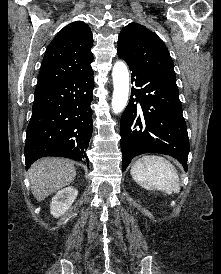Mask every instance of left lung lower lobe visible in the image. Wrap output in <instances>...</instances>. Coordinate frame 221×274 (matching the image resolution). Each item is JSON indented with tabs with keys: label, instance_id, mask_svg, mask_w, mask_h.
<instances>
[{
	"label": "left lung lower lobe",
	"instance_id": "0a47b994",
	"mask_svg": "<svg viewBox=\"0 0 221 274\" xmlns=\"http://www.w3.org/2000/svg\"><path fill=\"white\" fill-rule=\"evenodd\" d=\"M118 56L127 62L135 86L121 116L122 171L144 153L172 156L187 170L189 140L176 81Z\"/></svg>",
	"mask_w": 221,
	"mask_h": 274
}]
</instances>
